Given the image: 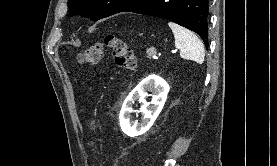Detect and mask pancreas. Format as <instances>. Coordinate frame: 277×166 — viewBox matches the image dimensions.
<instances>
[{"mask_svg": "<svg viewBox=\"0 0 277 166\" xmlns=\"http://www.w3.org/2000/svg\"><path fill=\"white\" fill-rule=\"evenodd\" d=\"M152 53H155V49H147V57L150 58V55H151Z\"/></svg>", "mask_w": 277, "mask_h": 166, "instance_id": "1", "label": "pancreas"}]
</instances>
